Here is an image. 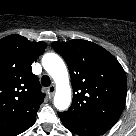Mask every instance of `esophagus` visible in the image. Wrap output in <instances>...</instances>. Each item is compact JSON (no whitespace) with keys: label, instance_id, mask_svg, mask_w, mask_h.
<instances>
[{"label":"esophagus","instance_id":"1","mask_svg":"<svg viewBox=\"0 0 136 136\" xmlns=\"http://www.w3.org/2000/svg\"><path fill=\"white\" fill-rule=\"evenodd\" d=\"M55 86L54 85H51L50 87H48V93H49V95L50 96H53L54 95V93H55Z\"/></svg>","mask_w":136,"mask_h":136}]
</instances>
